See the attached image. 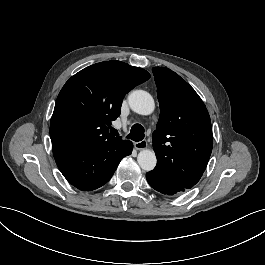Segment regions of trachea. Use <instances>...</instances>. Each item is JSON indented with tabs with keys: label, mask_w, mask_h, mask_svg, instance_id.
<instances>
[{
	"label": "trachea",
	"mask_w": 265,
	"mask_h": 265,
	"mask_svg": "<svg viewBox=\"0 0 265 265\" xmlns=\"http://www.w3.org/2000/svg\"><path fill=\"white\" fill-rule=\"evenodd\" d=\"M113 134H117V130L112 129ZM145 137V130L141 124H134L130 130L128 139H132L133 141H141Z\"/></svg>",
	"instance_id": "3493384b"
}]
</instances>
